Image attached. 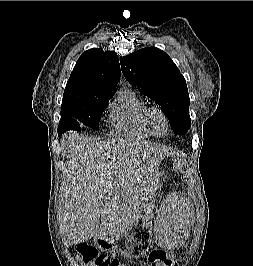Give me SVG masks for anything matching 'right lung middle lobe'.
<instances>
[{
	"mask_svg": "<svg viewBox=\"0 0 253 266\" xmlns=\"http://www.w3.org/2000/svg\"><path fill=\"white\" fill-rule=\"evenodd\" d=\"M112 97L113 95H108L84 103L62 104L58 130L62 133L80 130V123L95 130L99 129L100 118Z\"/></svg>",
	"mask_w": 253,
	"mask_h": 266,
	"instance_id": "right-lung-middle-lobe-1",
	"label": "right lung middle lobe"
}]
</instances>
